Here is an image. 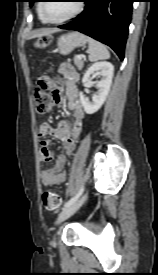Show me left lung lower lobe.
Returning a JSON list of instances; mask_svg holds the SVG:
<instances>
[{"mask_svg":"<svg viewBox=\"0 0 158 275\" xmlns=\"http://www.w3.org/2000/svg\"><path fill=\"white\" fill-rule=\"evenodd\" d=\"M84 11L62 29L76 30L110 46L121 60L134 0H85Z\"/></svg>","mask_w":158,"mask_h":275,"instance_id":"obj_1","label":"left lung lower lobe"}]
</instances>
